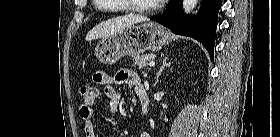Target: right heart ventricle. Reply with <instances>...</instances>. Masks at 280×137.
I'll list each match as a JSON object with an SVG mask.
<instances>
[{
  "label": "right heart ventricle",
  "mask_w": 280,
  "mask_h": 137,
  "mask_svg": "<svg viewBox=\"0 0 280 137\" xmlns=\"http://www.w3.org/2000/svg\"><path fill=\"white\" fill-rule=\"evenodd\" d=\"M97 3H99V5L102 7V8H106L107 6L105 5L106 2L110 1V0H95ZM122 11H125V9L123 8Z\"/></svg>",
  "instance_id": "right-heart-ventricle-1"
}]
</instances>
